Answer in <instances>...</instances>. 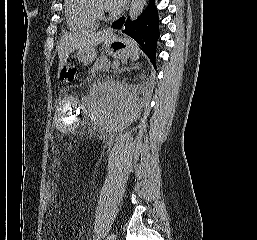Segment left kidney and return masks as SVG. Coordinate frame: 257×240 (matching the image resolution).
<instances>
[{"label":"left kidney","instance_id":"1","mask_svg":"<svg viewBox=\"0 0 257 240\" xmlns=\"http://www.w3.org/2000/svg\"><path fill=\"white\" fill-rule=\"evenodd\" d=\"M96 105L99 121L109 130H117L137 117L135 96L124 82L110 80L102 83Z\"/></svg>","mask_w":257,"mask_h":240}]
</instances>
